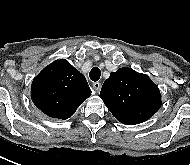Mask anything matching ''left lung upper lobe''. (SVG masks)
Masks as SVG:
<instances>
[{
	"mask_svg": "<svg viewBox=\"0 0 190 165\" xmlns=\"http://www.w3.org/2000/svg\"><path fill=\"white\" fill-rule=\"evenodd\" d=\"M100 97L121 123L135 125L152 117L161 106L159 88L131 68H120L102 85Z\"/></svg>",
	"mask_w": 190,
	"mask_h": 165,
	"instance_id": "5c2ea615",
	"label": "left lung upper lobe"
}]
</instances>
